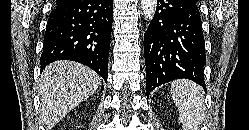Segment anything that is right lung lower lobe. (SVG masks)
I'll return each mask as SVG.
<instances>
[{
	"label": "right lung lower lobe",
	"instance_id": "right-lung-lower-lobe-1",
	"mask_svg": "<svg viewBox=\"0 0 249 130\" xmlns=\"http://www.w3.org/2000/svg\"><path fill=\"white\" fill-rule=\"evenodd\" d=\"M113 0H69L49 16L40 58L42 69L72 60L108 78Z\"/></svg>",
	"mask_w": 249,
	"mask_h": 130
}]
</instances>
